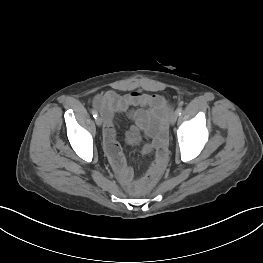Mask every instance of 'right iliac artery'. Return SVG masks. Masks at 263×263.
<instances>
[{"mask_svg": "<svg viewBox=\"0 0 263 263\" xmlns=\"http://www.w3.org/2000/svg\"><path fill=\"white\" fill-rule=\"evenodd\" d=\"M92 115L94 118H97L98 117V113L96 110H92Z\"/></svg>", "mask_w": 263, "mask_h": 263, "instance_id": "obj_1", "label": "right iliac artery"}]
</instances>
